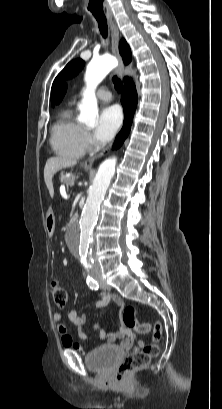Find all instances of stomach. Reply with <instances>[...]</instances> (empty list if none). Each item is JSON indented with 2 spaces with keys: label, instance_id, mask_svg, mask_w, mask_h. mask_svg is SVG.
<instances>
[{
  "label": "stomach",
  "instance_id": "0dacf381",
  "mask_svg": "<svg viewBox=\"0 0 222 409\" xmlns=\"http://www.w3.org/2000/svg\"><path fill=\"white\" fill-rule=\"evenodd\" d=\"M46 231L49 234H52L55 229V216L52 211H49L46 215V223H45Z\"/></svg>",
  "mask_w": 222,
  "mask_h": 409
}]
</instances>
